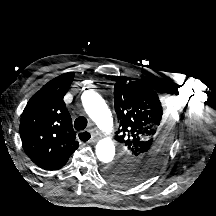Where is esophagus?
<instances>
[{
  "label": "esophagus",
  "mask_w": 216,
  "mask_h": 216,
  "mask_svg": "<svg viewBox=\"0 0 216 216\" xmlns=\"http://www.w3.org/2000/svg\"><path fill=\"white\" fill-rule=\"evenodd\" d=\"M85 132L90 134V138H89V140H87V143L96 142V141L98 140V138H97L93 133H91V132L88 131V130L78 132L77 137L80 139V136H81L83 133H85ZM80 140H81V139H80Z\"/></svg>",
  "instance_id": "obj_1"
}]
</instances>
